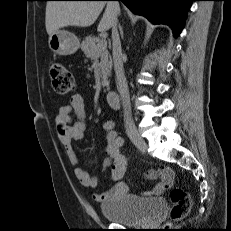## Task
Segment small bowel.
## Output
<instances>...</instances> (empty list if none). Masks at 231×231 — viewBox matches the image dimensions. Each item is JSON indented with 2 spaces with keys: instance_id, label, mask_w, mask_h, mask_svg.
<instances>
[{
  "instance_id": "1",
  "label": "small bowel",
  "mask_w": 231,
  "mask_h": 231,
  "mask_svg": "<svg viewBox=\"0 0 231 231\" xmlns=\"http://www.w3.org/2000/svg\"><path fill=\"white\" fill-rule=\"evenodd\" d=\"M54 128L56 135L62 144L69 162L76 166L79 162L78 156L73 148V142L84 137L86 129L85 101L81 94L71 96L68 104L61 106L55 117ZM106 132L105 155L103 168H110V179L114 185L106 192L96 193L93 198L97 202H106L112 199H120L128 194V186L121 179L127 167V158L122 154L121 140L115 131L113 120H107L103 124ZM76 178L85 187L95 189L99 184L96 176L90 175L85 169L76 166L74 170ZM161 181L157 183L147 194L159 196L172 186L174 173L169 168L160 170Z\"/></svg>"
}]
</instances>
